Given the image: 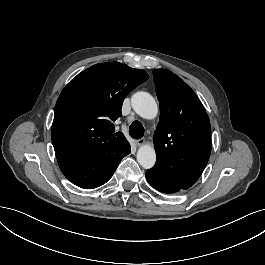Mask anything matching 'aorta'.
Segmentation results:
<instances>
[{"mask_svg":"<svg viewBox=\"0 0 265 265\" xmlns=\"http://www.w3.org/2000/svg\"><path fill=\"white\" fill-rule=\"evenodd\" d=\"M133 110L144 119H154L158 113L157 103L148 92L139 91L132 95ZM137 162L144 168L150 169L155 165L156 153L150 145H142L137 151Z\"/></svg>","mask_w":265,"mask_h":265,"instance_id":"762f6f07","label":"aorta"}]
</instances>
